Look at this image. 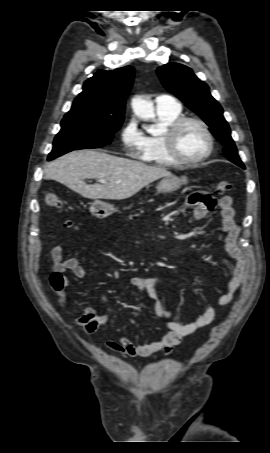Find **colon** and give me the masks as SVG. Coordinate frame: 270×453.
<instances>
[{"mask_svg": "<svg viewBox=\"0 0 270 453\" xmlns=\"http://www.w3.org/2000/svg\"><path fill=\"white\" fill-rule=\"evenodd\" d=\"M232 189V184L228 181H220L218 182L216 186V193L217 194H224ZM198 198L202 203L207 204L209 207H214L215 205V200L207 193L205 192H200L198 193ZM45 202L48 206L57 208V209H62V201L59 198L58 195L54 193H47L45 195ZM51 286L54 289L56 293L59 295L62 294L64 284H63V278L60 274L53 273L50 278Z\"/></svg>", "mask_w": 270, "mask_h": 453, "instance_id": "1", "label": "colon"}]
</instances>
